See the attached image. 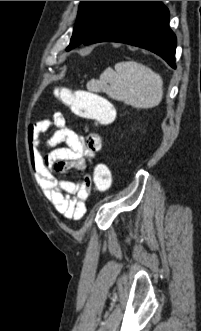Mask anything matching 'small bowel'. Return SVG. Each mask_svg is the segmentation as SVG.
Returning a JSON list of instances; mask_svg holds the SVG:
<instances>
[{"mask_svg": "<svg viewBox=\"0 0 201 331\" xmlns=\"http://www.w3.org/2000/svg\"><path fill=\"white\" fill-rule=\"evenodd\" d=\"M52 127L55 131L48 144L63 142L66 147L44 153L42 137ZM28 146L35 177L46 199L65 218L75 221L81 219L86 212L92 186L91 177L84 175L78 182H73L60 179L55 174L85 170L88 161L102 147L100 136L90 133L83 138L67 126L61 112H55L50 118L38 120L29 127Z\"/></svg>", "mask_w": 201, "mask_h": 331, "instance_id": "small-bowel-1", "label": "small bowel"}]
</instances>
